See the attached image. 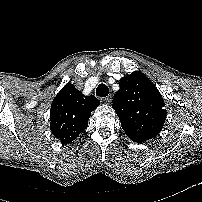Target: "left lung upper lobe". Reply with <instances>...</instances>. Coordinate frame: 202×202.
Masks as SVG:
<instances>
[{
  "label": "left lung upper lobe",
  "instance_id": "left-lung-upper-lobe-1",
  "mask_svg": "<svg viewBox=\"0 0 202 202\" xmlns=\"http://www.w3.org/2000/svg\"><path fill=\"white\" fill-rule=\"evenodd\" d=\"M112 107L126 135L134 142H144L159 135L167 112L155 85L140 71L121 78Z\"/></svg>",
  "mask_w": 202,
  "mask_h": 202
}]
</instances>
